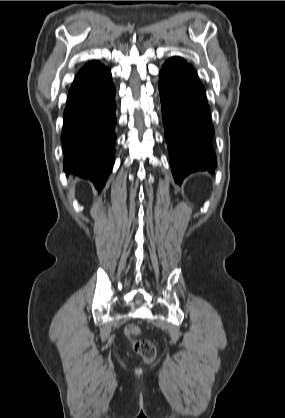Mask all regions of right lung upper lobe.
Listing matches in <instances>:
<instances>
[{"mask_svg":"<svg viewBox=\"0 0 285 418\" xmlns=\"http://www.w3.org/2000/svg\"><path fill=\"white\" fill-rule=\"evenodd\" d=\"M105 69H107V68L98 61L88 62L77 73L70 90H72V89L84 84L85 82L89 81L90 79L96 77L97 75H99Z\"/></svg>","mask_w":285,"mask_h":418,"instance_id":"1","label":"right lung upper lobe"}]
</instances>
